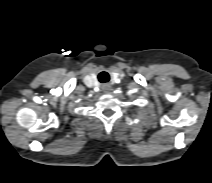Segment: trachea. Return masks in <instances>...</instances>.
<instances>
[{"label": "trachea", "mask_w": 212, "mask_h": 183, "mask_svg": "<svg viewBox=\"0 0 212 183\" xmlns=\"http://www.w3.org/2000/svg\"><path fill=\"white\" fill-rule=\"evenodd\" d=\"M105 74H106L105 72L100 73V75H99V80H100L101 82H105V81L102 80V76L105 75Z\"/></svg>", "instance_id": "trachea-1"}]
</instances>
